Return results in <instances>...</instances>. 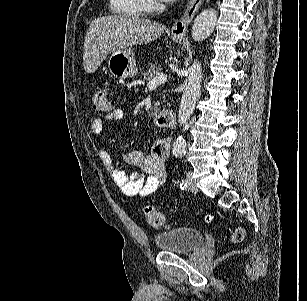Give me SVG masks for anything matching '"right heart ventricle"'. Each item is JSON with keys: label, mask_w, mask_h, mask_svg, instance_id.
Listing matches in <instances>:
<instances>
[{"label": "right heart ventricle", "mask_w": 307, "mask_h": 301, "mask_svg": "<svg viewBox=\"0 0 307 301\" xmlns=\"http://www.w3.org/2000/svg\"><path fill=\"white\" fill-rule=\"evenodd\" d=\"M146 0H110L111 12L119 17H140V8H144Z\"/></svg>", "instance_id": "e07e8e85"}]
</instances>
